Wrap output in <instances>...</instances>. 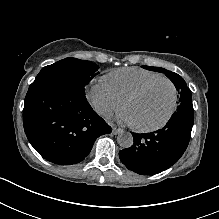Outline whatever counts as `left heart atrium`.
Wrapping results in <instances>:
<instances>
[{"mask_svg":"<svg viewBox=\"0 0 219 219\" xmlns=\"http://www.w3.org/2000/svg\"><path fill=\"white\" fill-rule=\"evenodd\" d=\"M117 120L120 122L127 123L129 125H135V121H134L132 114L127 110L124 113H122L121 115H119L117 117Z\"/></svg>","mask_w":219,"mask_h":219,"instance_id":"obj_1","label":"left heart atrium"}]
</instances>
